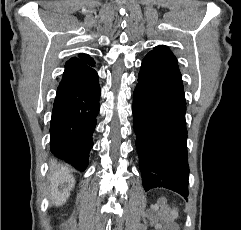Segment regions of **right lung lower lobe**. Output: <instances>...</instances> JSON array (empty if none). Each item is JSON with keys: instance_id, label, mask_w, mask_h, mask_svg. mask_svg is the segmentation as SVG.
Returning a JSON list of instances; mask_svg holds the SVG:
<instances>
[{"instance_id": "right-lung-lower-lobe-1", "label": "right lung lower lobe", "mask_w": 241, "mask_h": 230, "mask_svg": "<svg viewBox=\"0 0 241 230\" xmlns=\"http://www.w3.org/2000/svg\"><path fill=\"white\" fill-rule=\"evenodd\" d=\"M99 98L96 71L73 58L67 61L53 105L50 149L80 171L86 169L93 146Z\"/></svg>"}]
</instances>
